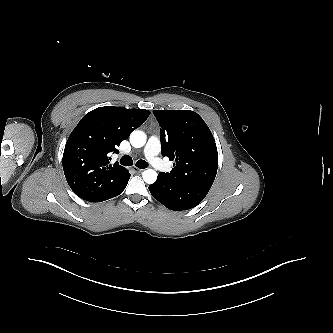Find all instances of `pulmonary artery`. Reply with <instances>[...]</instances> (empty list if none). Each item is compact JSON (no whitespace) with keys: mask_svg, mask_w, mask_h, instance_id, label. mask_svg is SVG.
Here are the masks:
<instances>
[{"mask_svg":"<svg viewBox=\"0 0 333 333\" xmlns=\"http://www.w3.org/2000/svg\"><path fill=\"white\" fill-rule=\"evenodd\" d=\"M160 152V140L158 136H151L144 148V155L147 157L148 161L152 166L158 170H169V166L158 157Z\"/></svg>","mask_w":333,"mask_h":333,"instance_id":"e3ab8cb5","label":"pulmonary artery"}]
</instances>
